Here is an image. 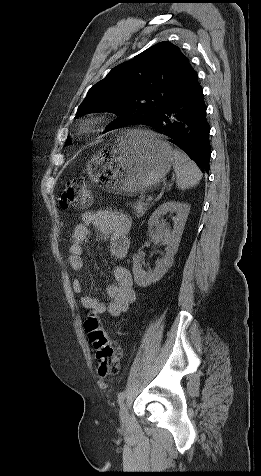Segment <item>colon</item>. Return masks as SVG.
Here are the masks:
<instances>
[{
  "label": "colon",
  "instance_id": "1",
  "mask_svg": "<svg viewBox=\"0 0 261 476\" xmlns=\"http://www.w3.org/2000/svg\"><path fill=\"white\" fill-rule=\"evenodd\" d=\"M92 196L84 178L68 181L59 196V204L63 209L87 207ZM85 331L95 349L97 371L100 377L115 375L119 370L120 348L111 339L95 314H90L84 322Z\"/></svg>",
  "mask_w": 261,
  "mask_h": 476
}]
</instances>
